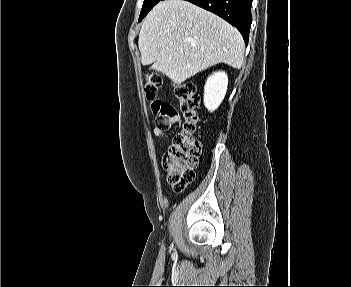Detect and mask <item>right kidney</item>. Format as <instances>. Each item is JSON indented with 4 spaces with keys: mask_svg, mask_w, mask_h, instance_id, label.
Masks as SVG:
<instances>
[{
    "mask_svg": "<svg viewBox=\"0 0 351 287\" xmlns=\"http://www.w3.org/2000/svg\"><path fill=\"white\" fill-rule=\"evenodd\" d=\"M228 86L225 72L218 71L209 76L204 86V105L210 111H215L223 101Z\"/></svg>",
    "mask_w": 351,
    "mask_h": 287,
    "instance_id": "obj_1",
    "label": "right kidney"
}]
</instances>
